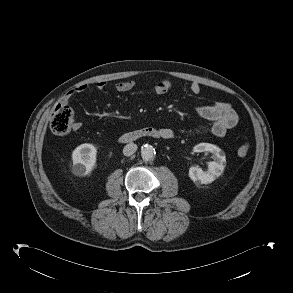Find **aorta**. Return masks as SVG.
<instances>
[{
    "label": "aorta",
    "mask_w": 293,
    "mask_h": 293,
    "mask_svg": "<svg viewBox=\"0 0 293 293\" xmlns=\"http://www.w3.org/2000/svg\"><path fill=\"white\" fill-rule=\"evenodd\" d=\"M155 153H156L155 149L151 145L146 144V145L142 146V148H141V156H142L143 160H145V161L153 160L155 157Z\"/></svg>",
    "instance_id": "762f6f07"
}]
</instances>
